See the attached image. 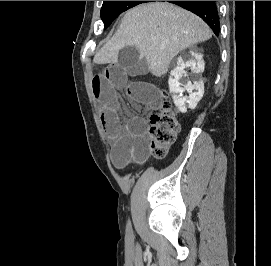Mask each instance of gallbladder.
<instances>
[{"label": "gallbladder", "mask_w": 271, "mask_h": 266, "mask_svg": "<svg viewBox=\"0 0 271 266\" xmlns=\"http://www.w3.org/2000/svg\"><path fill=\"white\" fill-rule=\"evenodd\" d=\"M119 64L132 76L146 75L149 72L147 61L140 57L134 46H126L119 52Z\"/></svg>", "instance_id": "bac80fb5"}]
</instances>
